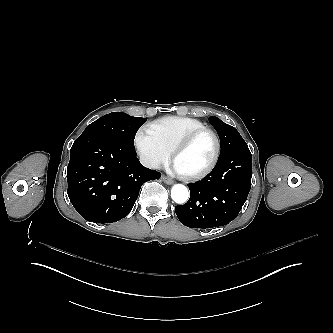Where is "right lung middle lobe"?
Returning a JSON list of instances; mask_svg holds the SVG:
<instances>
[{"instance_id": "obj_1", "label": "right lung middle lobe", "mask_w": 333, "mask_h": 333, "mask_svg": "<svg viewBox=\"0 0 333 333\" xmlns=\"http://www.w3.org/2000/svg\"><path fill=\"white\" fill-rule=\"evenodd\" d=\"M145 121V118L132 117L122 112H113L102 116L87 126L81 136L104 135L134 150L135 134Z\"/></svg>"}]
</instances>
